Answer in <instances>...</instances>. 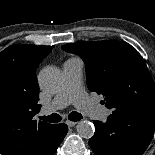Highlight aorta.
Instances as JSON below:
<instances>
[{"instance_id": "762f6f07", "label": "aorta", "mask_w": 155, "mask_h": 155, "mask_svg": "<svg viewBox=\"0 0 155 155\" xmlns=\"http://www.w3.org/2000/svg\"><path fill=\"white\" fill-rule=\"evenodd\" d=\"M38 81L44 90L50 93H55L62 86L61 71L57 67L46 66L40 71ZM76 128L78 134L86 139H90L95 132L94 125L86 120L80 121Z\"/></svg>"}]
</instances>
